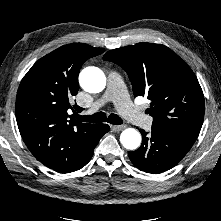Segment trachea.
<instances>
[{"label":"trachea","instance_id":"obj_1","mask_svg":"<svg viewBox=\"0 0 221 221\" xmlns=\"http://www.w3.org/2000/svg\"><path fill=\"white\" fill-rule=\"evenodd\" d=\"M80 122H92V123H101L108 122L114 125H120L123 123V120L116 114H110L108 117L104 112H98L89 116H77Z\"/></svg>","mask_w":221,"mask_h":221}]
</instances>
